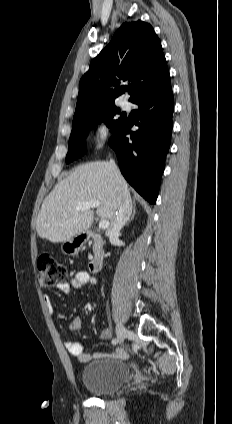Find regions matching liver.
I'll return each instance as SVG.
<instances>
[{"instance_id":"1","label":"liver","mask_w":232,"mask_h":424,"mask_svg":"<svg viewBox=\"0 0 232 424\" xmlns=\"http://www.w3.org/2000/svg\"><path fill=\"white\" fill-rule=\"evenodd\" d=\"M124 194L130 195L128 184L120 172L119 175L113 172L110 162L80 165L44 199L37 217V234L58 243L85 233L91 227L94 211H77V205L98 200L97 216L111 220Z\"/></svg>"}]
</instances>
